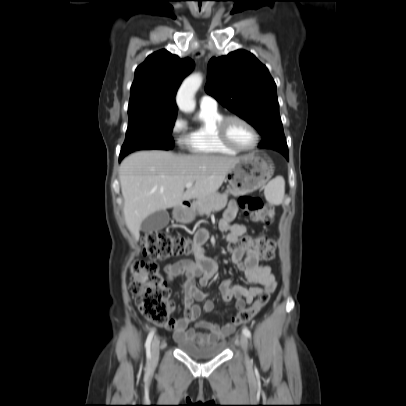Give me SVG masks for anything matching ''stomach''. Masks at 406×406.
<instances>
[{
    "instance_id": "1",
    "label": "stomach",
    "mask_w": 406,
    "mask_h": 406,
    "mask_svg": "<svg viewBox=\"0 0 406 406\" xmlns=\"http://www.w3.org/2000/svg\"><path fill=\"white\" fill-rule=\"evenodd\" d=\"M272 173L273 166L270 161L256 153H251L241 157L240 161L227 174L226 180L231 186L230 193L239 196L265 186ZM195 214L194 206L190 208L176 207L173 211L174 218L182 223L193 221Z\"/></svg>"
}]
</instances>
